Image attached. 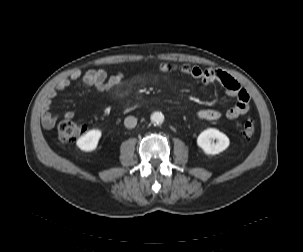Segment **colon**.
<instances>
[{
	"label": "colon",
	"mask_w": 303,
	"mask_h": 252,
	"mask_svg": "<svg viewBox=\"0 0 303 252\" xmlns=\"http://www.w3.org/2000/svg\"><path fill=\"white\" fill-rule=\"evenodd\" d=\"M242 135L250 139L256 132V126L253 122H245L242 126ZM82 132V128L73 121L65 120L60 123L58 133L62 140L73 142Z\"/></svg>",
	"instance_id": "1"
}]
</instances>
